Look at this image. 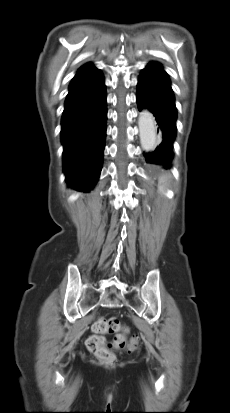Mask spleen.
I'll list each match as a JSON object with an SVG mask.
<instances>
[{"label": "spleen", "instance_id": "1", "mask_svg": "<svg viewBox=\"0 0 230 413\" xmlns=\"http://www.w3.org/2000/svg\"><path fill=\"white\" fill-rule=\"evenodd\" d=\"M166 180H167L166 177H162L161 180H160V183L163 184V186H165Z\"/></svg>", "mask_w": 230, "mask_h": 413}]
</instances>
